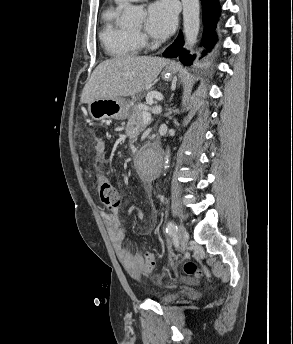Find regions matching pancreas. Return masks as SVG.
<instances>
[{"mask_svg":"<svg viewBox=\"0 0 293 344\" xmlns=\"http://www.w3.org/2000/svg\"><path fill=\"white\" fill-rule=\"evenodd\" d=\"M142 114L143 110L137 105H134L131 110V115L128 118L129 125H136L138 127L137 132L144 128V124L142 123Z\"/></svg>","mask_w":293,"mask_h":344,"instance_id":"cf45deb5","label":"pancreas"}]
</instances>
